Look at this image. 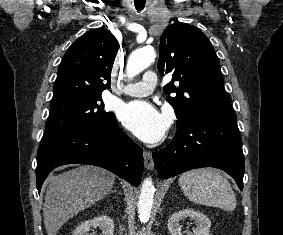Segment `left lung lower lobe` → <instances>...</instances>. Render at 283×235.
Masks as SVG:
<instances>
[{
    "label": "left lung lower lobe",
    "instance_id": "obj_1",
    "mask_svg": "<svg viewBox=\"0 0 283 235\" xmlns=\"http://www.w3.org/2000/svg\"><path fill=\"white\" fill-rule=\"evenodd\" d=\"M153 160L161 179L195 168L215 167L227 172L243 189L244 156L235 114L177 128L173 141L154 152Z\"/></svg>",
    "mask_w": 283,
    "mask_h": 235
}]
</instances>
